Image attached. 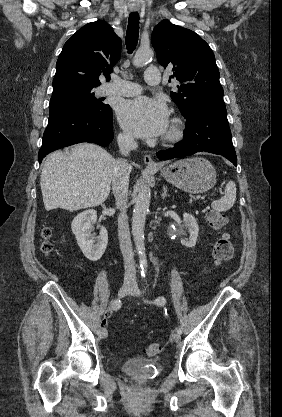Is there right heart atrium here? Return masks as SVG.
I'll return each instance as SVG.
<instances>
[{
	"mask_svg": "<svg viewBox=\"0 0 282 417\" xmlns=\"http://www.w3.org/2000/svg\"><path fill=\"white\" fill-rule=\"evenodd\" d=\"M122 139H123L125 142H130V138H129V136H128V135H126V134L122 135Z\"/></svg>",
	"mask_w": 282,
	"mask_h": 417,
	"instance_id": "1",
	"label": "right heart atrium"
}]
</instances>
